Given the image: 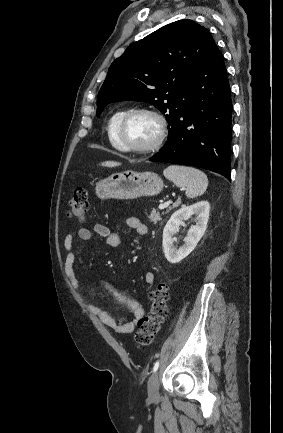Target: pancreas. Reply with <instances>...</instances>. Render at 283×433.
I'll return each instance as SVG.
<instances>
[{"mask_svg":"<svg viewBox=\"0 0 283 433\" xmlns=\"http://www.w3.org/2000/svg\"><path fill=\"white\" fill-rule=\"evenodd\" d=\"M174 208V206H172ZM149 223H157V221H162L160 217V212H157L156 208H152L151 214H148Z\"/></svg>","mask_w":283,"mask_h":433,"instance_id":"pancreas-1","label":"pancreas"}]
</instances>
